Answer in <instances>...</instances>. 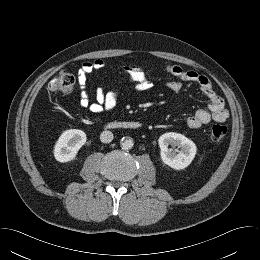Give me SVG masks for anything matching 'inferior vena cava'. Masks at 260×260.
<instances>
[{
	"label": "inferior vena cava",
	"instance_id": "inferior-vena-cava-1",
	"mask_svg": "<svg viewBox=\"0 0 260 260\" xmlns=\"http://www.w3.org/2000/svg\"><path fill=\"white\" fill-rule=\"evenodd\" d=\"M100 140L103 143H109L113 140V133L111 131H103L100 135Z\"/></svg>",
	"mask_w": 260,
	"mask_h": 260
}]
</instances>
